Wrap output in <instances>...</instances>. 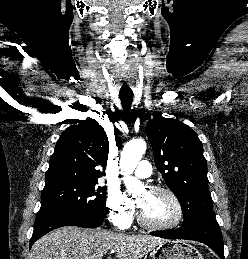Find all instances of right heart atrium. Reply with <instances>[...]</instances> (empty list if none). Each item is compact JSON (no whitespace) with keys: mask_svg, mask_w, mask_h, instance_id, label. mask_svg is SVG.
<instances>
[{"mask_svg":"<svg viewBox=\"0 0 248 259\" xmlns=\"http://www.w3.org/2000/svg\"><path fill=\"white\" fill-rule=\"evenodd\" d=\"M110 221L118 228H128L135 215L134 204L119 190H111L107 196Z\"/></svg>","mask_w":248,"mask_h":259,"instance_id":"right-heart-atrium-1","label":"right heart atrium"}]
</instances>
